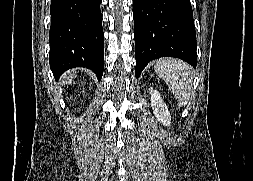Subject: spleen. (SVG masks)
I'll list each match as a JSON object with an SVG mask.
<instances>
[{"instance_id":"3e777b00","label":"spleen","mask_w":253,"mask_h":181,"mask_svg":"<svg viewBox=\"0 0 253 181\" xmlns=\"http://www.w3.org/2000/svg\"><path fill=\"white\" fill-rule=\"evenodd\" d=\"M155 71L167 83L178 104L186 105L192 89L190 65L178 59H159L155 62Z\"/></svg>"}]
</instances>
